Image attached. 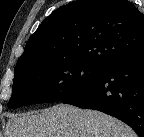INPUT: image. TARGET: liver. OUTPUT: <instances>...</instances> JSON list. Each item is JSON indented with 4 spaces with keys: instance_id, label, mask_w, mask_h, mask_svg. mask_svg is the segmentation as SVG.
Returning <instances> with one entry per match:
<instances>
[{
    "instance_id": "liver-1",
    "label": "liver",
    "mask_w": 144,
    "mask_h": 137,
    "mask_svg": "<svg viewBox=\"0 0 144 137\" xmlns=\"http://www.w3.org/2000/svg\"><path fill=\"white\" fill-rule=\"evenodd\" d=\"M6 137H137L122 121L96 110L57 104L39 112L11 115Z\"/></svg>"
}]
</instances>
